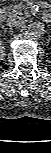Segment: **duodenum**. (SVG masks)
Wrapping results in <instances>:
<instances>
[{
    "label": "duodenum",
    "mask_w": 51,
    "mask_h": 153,
    "mask_svg": "<svg viewBox=\"0 0 51 153\" xmlns=\"http://www.w3.org/2000/svg\"><path fill=\"white\" fill-rule=\"evenodd\" d=\"M6 18V12L5 11H0V20L4 21Z\"/></svg>",
    "instance_id": "obj_1"
}]
</instances>
